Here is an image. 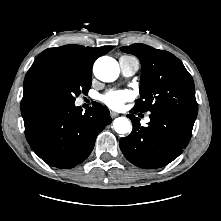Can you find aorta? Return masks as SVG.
<instances>
[{
  "instance_id": "obj_1",
  "label": "aorta",
  "mask_w": 221,
  "mask_h": 221,
  "mask_svg": "<svg viewBox=\"0 0 221 221\" xmlns=\"http://www.w3.org/2000/svg\"><path fill=\"white\" fill-rule=\"evenodd\" d=\"M95 76L103 82H113L119 76V65L117 61L111 57H101L94 64ZM114 130L118 134H126L131 130V123L126 117L116 118L113 122Z\"/></svg>"
}]
</instances>
